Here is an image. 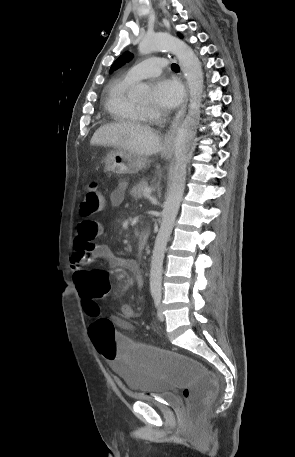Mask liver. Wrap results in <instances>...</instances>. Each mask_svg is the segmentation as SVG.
<instances>
[{"label": "liver", "instance_id": "6515ba94", "mask_svg": "<svg viewBox=\"0 0 295 457\" xmlns=\"http://www.w3.org/2000/svg\"><path fill=\"white\" fill-rule=\"evenodd\" d=\"M92 146H107L147 157L162 150L159 135L148 125L123 121L104 125L91 138Z\"/></svg>", "mask_w": 295, "mask_h": 457}]
</instances>
